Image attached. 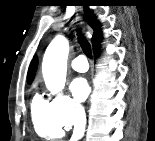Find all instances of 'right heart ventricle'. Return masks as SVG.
<instances>
[{
  "instance_id": "obj_1",
  "label": "right heart ventricle",
  "mask_w": 155,
  "mask_h": 141,
  "mask_svg": "<svg viewBox=\"0 0 155 141\" xmlns=\"http://www.w3.org/2000/svg\"><path fill=\"white\" fill-rule=\"evenodd\" d=\"M32 121L37 134L43 138L63 135V127L56 120L51 101L35 94L31 100Z\"/></svg>"
}]
</instances>
